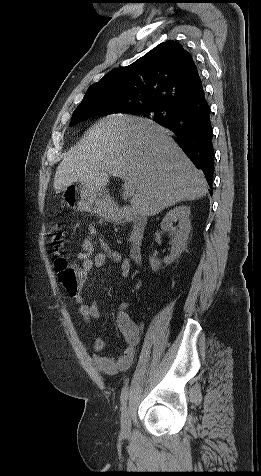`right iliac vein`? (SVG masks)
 <instances>
[{
  "label": "right iliac vein",
  "mask_w": 261,
  "mask_h": 476,
  "mask_svg": "<svg viewBox=\"0 0 261 476\" xmlns=\"http://www.w3.org/2000/svg\"><path fill=\"white\" fill-rule=\"evenodd\" d=\"M130 413L129 408L125 406L121 414V432L124 435H128L130 433Z\"/></svg>",
  "instance_id": "63e3f726"
}]
</instances>
